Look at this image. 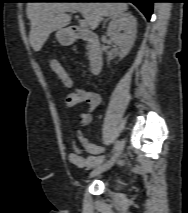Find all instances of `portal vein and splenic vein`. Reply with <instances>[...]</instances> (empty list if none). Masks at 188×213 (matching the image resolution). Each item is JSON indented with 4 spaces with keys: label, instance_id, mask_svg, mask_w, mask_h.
I'll use <instances>...</instances> for the list:
<instances>
[{
    "label": "portal vein and splenic vein",
    "instance_id": "portal-vein-and-splenic-vein-1",
    "mask_svg": "<svg viewBox=\"0 0 188 213\" xmlns=\"http://www.w3.org/2000/svg\"><path fill=\"white\" fill-rule=\"evenodd\" d=\"M79 25H80L81 27H87V21H86V20H80V21H79Z\"/></svg>",
    "mask_w": 188,
    "mask_h": 213
}]
</instances>
